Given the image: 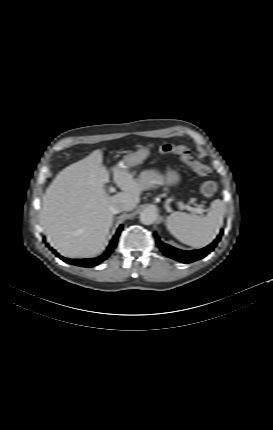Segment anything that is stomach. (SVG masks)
Here are the masks:
<instances>
[{
	"instance_id": "1",
	"label": "stomach",
	"mask_w": 273,
	"mask_h": 430,
	"mask_svg": "<svg viewBox=\"0 0 273 430\" xmlns=\"http://www.w3.org/2000/svg\"><path fill=\"white\" fill-rule=\"evenodd\" d=\"M150 154V150L147 147H141L136 152L129 154L124 157V159L120 162V167L123 166L130 167L135 166L137 164L142 163ZM165 183L169 186L177 185L181 176L176 170L169 169L165 174Z\"/></svg>"
}]
</instances>
